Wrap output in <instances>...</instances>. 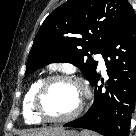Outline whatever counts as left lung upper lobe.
I'll list each match as a JSON object with an SVG mask.
<instances>
[{
    "instance_id": "left-lung-upper-lobe-1",
    "label": "left lung upper lobe",
    "mask_w": 136,
    "mask_h": 136,
    "mask_svg": "<svg viewBox=\"0 0 136 136\" xmlns=\"http://www.w3.org/2000/svg\"><path fill=\"white\" fill-rule=\"evenodd\" d=\"M130 8L127 0H68L41 25L25 75L50 63L68 62L90 80L98 64L91 54L103 52Z\"/></svg>"
}]
</instances>
